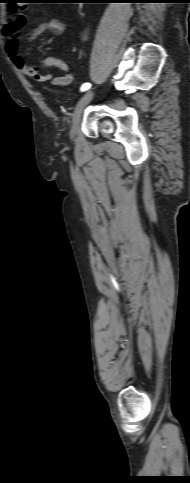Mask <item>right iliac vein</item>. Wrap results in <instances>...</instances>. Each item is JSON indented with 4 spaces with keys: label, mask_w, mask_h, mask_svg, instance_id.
Returning a JSON list of instances; mask_svg holds the SVG:
<instances>
[{
    "label": "right iliac vein",
    "mask_w": 190,
    "mask_h": 483,
    "mask_svg": "<svg viewBox=\"0 0 190 483\" xmlns=\"http://www.w3.org/2000/svg\"><path fill=\"white\" fill-rule=\"evenodd\" d=\"M92 97H93V91H88L78 101V103H77V105L74 109L73 117H72V125H71V129H70L71 138L75 137L77 130H78V125H79L81 114H82L85 106L92 99Z\"/></svg>",
    "instance_id": "obj_1"
}]
</instances>
